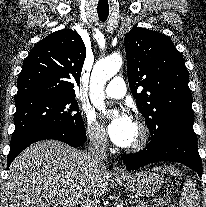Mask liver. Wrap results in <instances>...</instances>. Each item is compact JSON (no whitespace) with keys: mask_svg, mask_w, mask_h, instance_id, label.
<instances>
[{"mask_svg":"<svg viewBox=\"0 0 206 207\" xmlns=\"http://www.w3.org/2000/svg\"><path fill=\"white\" fill-rule=\"evenodd\" d=\"M107 171L94 172L86 152L44 140L26 148L8 171L6 195L10 207H74L104 195Z\"/></svg>","mask_w":206,"mask_h":207,"instance_id":"liver-1","label":"liver"}]
</instances>
